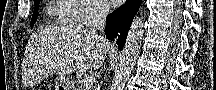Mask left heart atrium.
Masks as SVG:
<instances>
[{
  "instance_id": "1",
  "label": "left heart atrium",
  "mask_w": 216,
  "mask_h": 90,
  "mask_svg": "<svg viewBox=\"0 0 216 90\" xmlns=\"http://www.w3.org/2000/svg\"><path fill=\"white\" fill-rule=\"evenodd\" d=\"M103 7H121L122 0H99Z\"/></svg>"
}]
</instances>
